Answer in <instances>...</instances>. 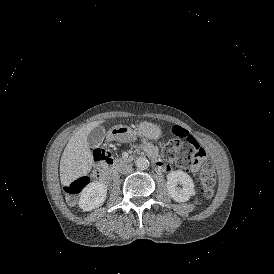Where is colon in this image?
Masks as SVG:
<instances>
[{"label":"colon","mask_w":274,"mask_h":274,"mask_svg":"<svg viewBox=\"0 0 274 274\" xmlns=\"http://www.w3.org/2000/svg\"><path fill=\"white\" fill-rule=\"evenodd\" d=\"M194 146H190L176 139L164 141L161 144V154L163 159L172 161L178 168H189L196 160ZM200 167L197 169L201 181L198 187V194L203 198H211L214 194L216 173L211 161H199ZM90 175H79L78 179L71 180V183L64 187L65 196L69 205L75 203V195L82 189H88L91 183Z\"/></svg>","instance_id":"1"}]
</instances>
